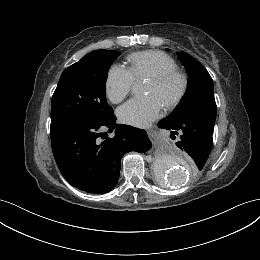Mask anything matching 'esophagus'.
Returning a JSON list of instances; mask_svg holds the SVG:
<instances>
[{
  "mask_svg": "<svg viewBox=\"0 0 260 260\" xmlns=\"http://www.w3.org/2000/svg\"><path fill=\"white\" fill-rule=\"evenodd\" d=\"M148 136L149 138L153 141L156 140V138L158 137V131L156 129H148L147 130Z\"/></svg>",
  "mask_w": 260,
  "mask_h": 260,
  "instance_id": "1",
  "label": "esophagus"
}]
</instances>
